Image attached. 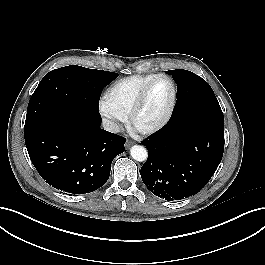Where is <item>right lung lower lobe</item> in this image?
I'll return each mask as SVG.
<instances>
[{"label":"right lung lower lobe","mask_w":265,"mask_h":265,"mask_svg":"<svg viewBox=\"0 0 265 265\" xmlns=\"http://www.w3.org/2000/svg\"><path fill=\"white\" fill-rule=\"evenodd\" d=\"M100 124L99 112L65 107L25 128V144L40 176L65 194H84L103 186L113 159L125 151L126 139Z\"/></svg>","instance_id":"1"}]
</instances>
